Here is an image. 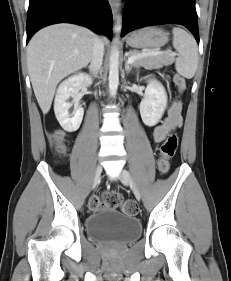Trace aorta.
<instances>
[{
    "instance_id": "762f6f07",
    "label": "aorta",
    "mask_w": 231,
    "mask_h": 281,
    "mask_svg": "<svg viewBox=\"0 0 231 281\" xmlns=\"http://www.w3.org/2000/svg\"><path fill=\"white\" fill-rule=\"evenodd\" d=\"M118 33V31H117ZM117 37L115 38V42ZM119 85V51L117 46H113L109 63V90L111 97L115 98Z\"/></svg>"
}]
</instances>
